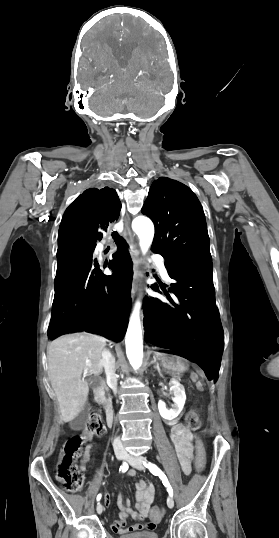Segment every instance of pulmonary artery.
I'll return each instance as SVG.
<instances>
[{
  "label": "pulmonary artery",
  "instance_id": "obj_1",
  "mask_svg": "<svg viewBox=\"0 0 279 538\" xmlns=\"http://www.w3.org/2000/svg\"><path fill=\"white\" fill-rule=\"evenodd\" d=\"M157 270H158V271H160V270H161V268H160V267H157Z\"/></svg>",
  "mask_w": 279,
  "mask_h": 538
}]
</instances>
